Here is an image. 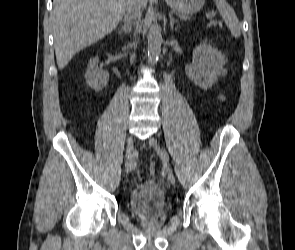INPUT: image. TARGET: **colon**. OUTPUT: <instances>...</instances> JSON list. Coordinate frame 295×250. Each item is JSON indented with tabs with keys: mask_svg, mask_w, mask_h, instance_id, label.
Here are the masks:
<instances>
[{
	"mask_svg": "<svg viewBox=\"0 0 295 250\" xmlns=\"http://www.w3.org/2000/svg\"><path fill=\"white\" fill-rule=\"evenodd\" d=\"M156 171V165L154 163H152L150 166H149V173L151 175H153Z\"/></svg>",
	"mask_w": 295,
	"mask_h": 250,
	"instance_id": "1",
	"label": "colon"
}]
</instances>
